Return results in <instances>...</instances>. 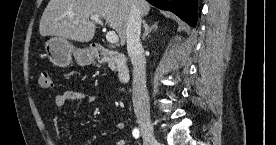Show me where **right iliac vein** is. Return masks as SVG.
<instances>
[{
	"label": "right iliac vein",
	"instance_id": "63e3f726",
	"mask_svg": "<svg viewBox=\"0 0 276 145\" xmlns=\"http://www.w3.org/2000/svg\"><path fill=\"white\" fill-rule=\"evenodd\" d=\"M138 123L140 125L141 133L144 138L146 145H156L157 139L154 134L152 122L150 116L148 115H139L137 117Z\"/></svg>",
	"mask_w": 276,
	"mask_h": 145
}]
</instances>
